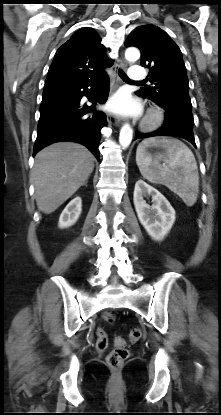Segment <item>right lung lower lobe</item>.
Segmentation results:
<instances>
[{
  "instance_id": "98d812e1",
  "label": "right lung lower lobe",
  "mask_w": 221,
  "mask_h": 415,
  "mask_svg": "<svg viewBox=\"0 0 221 415\" xmlns=\"http://www.w3.org/2000/svg\"><path fill=\"white\" fill-rule=\"evenodd\" d=\"M107 74L76 84L44 88L33 156L49 144L72 141L85 145L99 160L101 128L106 115L94 105L81 103L83 96L93 104L108 98ZM103 85H101V83Z\"/></svg>"
}]
</instances>
